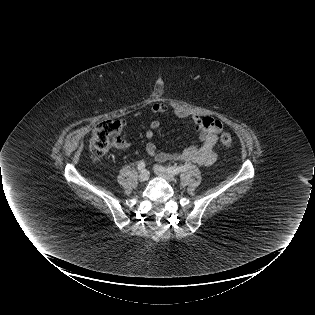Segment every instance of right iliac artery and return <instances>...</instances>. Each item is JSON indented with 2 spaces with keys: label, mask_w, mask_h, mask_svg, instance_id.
<instances>
[{
  "label": "right iliac artery",
  "mask_w": 315,
  "mask_h": 315,
  "mask_svg": "<svg viewBox=\"0 0 315 315\" xmlns=\"http://www.w3.org/2000/svg\"><path fill=\"white\" fill-rule=\"evenodd\" d=\"M145 168V162L144 161H140L139 163H138V169L139 170H142V169H144Z\"/></svg>",
  "instance_id": "obj_1"
}]
</instances>
